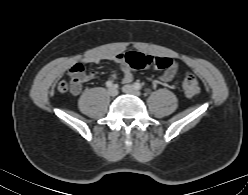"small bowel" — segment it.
<instances>
[{"label": "small bowel", "mask_w": 248, "mask_h": 195, "mask_svg": "<svg viewBox=\"0 0 248 195\" xmlns=\"http://www.w3.org/2000/svg\"><path fill=\"white\" fill-rule=\"evenodd\" d=\"M121 55L122 53H117L113 55L96 54V55L88 56L83 59L82 63H78L72 66L69 72L74 71L77 67L84 69L83 67L84 64H95V63H100L101 61H104V60H110V61L119 63L121 65V70L123 73L122 82L124 84H129L132 82L133 76H132L130 69L126 65H124L123 60L120 58ZM178 72H179L178 64L173 63L170 68L166 69L161 74V76L159 77V81L168 82L172 80L178 74ZM83 75H84V81H89L94 77L95 72L93 71L84 72Z\"/></svg>", "instance_id": "small-bowel-1"}]
</instances>
